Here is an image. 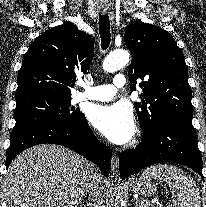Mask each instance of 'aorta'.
<instances>
[{"label": "aorta", "mask_w": 206, "mask_h": 207, "mask_svg": "<svg viewBox=\"0 0 206 207\" xmlns=\"http://www.w3.org/2000/svg\"><path fill=\"white\" fill-rule=\"evenodd\" d=\"M130 55L125 50L111 52L103 61L102 67L106 72H115L128 64Z\"/></svg>", "instance_id": "1"}]
</instances>
